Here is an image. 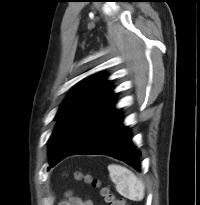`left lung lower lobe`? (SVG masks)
Instances as JSON below:
<instances>
[{
    "label": "left lung lower lobe",
    "mask_w": 200,
    "mask_h": 205,
    "mask_svg": "<svg viewBox=\"0 0 200 205\" xmlns=\"http://www.w3.org/2000/svg\"><path fill=\"white\" fill-rule=\"evenodd\" d=\"M114 105L115 103L65 157L73 154H103L122 160L137 171L140 170V153L133 146L131 133L123 126L119 110H116Z\"/></svg>",
    "instance_id": "obj_1"
}]
</instances>
